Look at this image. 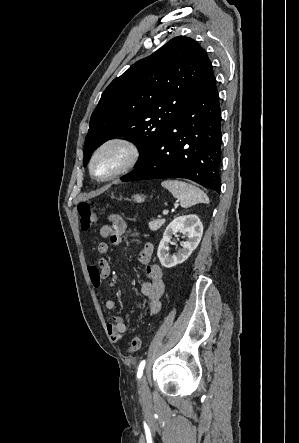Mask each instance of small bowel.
Masks as SVG:
<instances>
[{
	"mask_svg": "<svg viewBox=\"0 0 299 443\" xmlns=\"http://www.w3.org/2000/svg\"><path fill=\"white\" fill-rule=\"evenodd\" d=\"M126 223L124 219L118 214H112L108 218V223L104 224L100 230L99 235L103 239H109L113 244L121 243L125 238ZM138 233L134 232L130 237L135 238ZM100 255H106L109 252V245L106 242H100L97 248ZM153 254V245L146 244L139 253V261L145 265V271L148 280L141 285V295L146 306L147 315L152 316L160 311L161 299L164 293V277L161 268L156 264H151ZM89 278L94 288L100 289L102 281L107 279L111 274V267L109 262L104 258H98L96 264L89 267ZM105 308L108 311L116 309V303L107 299L105 301ZM127 331V325L124 319L120 316H114L112 321L107 324V332L111 340L118 343L123 340Z\"/></svg>",
	"mask_w": 299,
	"mask_h": 443,
	"instance_id": "obj_1",
	"label": "small bowel"
}]
</instances>
